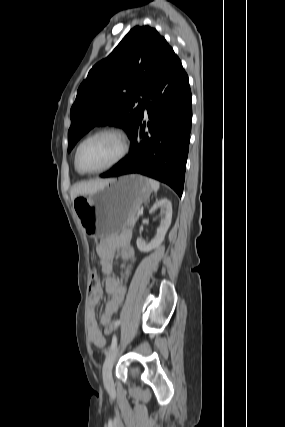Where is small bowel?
<instances>
[{
    "label": "small bowel",
    "mask_w": 285,
    "mask_h": 427,
    "mask_svg": "<svg viewBox=\"0 0 285 427\" xmlns=\"http://www.w3.org/2000/svg\"><path fill=\"white\" fill-rule=\"evenodd\" d=\"M119 251L121 258L125 262H135V251L130 244L128 234H124L118 238H104L96 245V253L100 260V266L103 272L107 275L105 282V290L110 295V299L105 305V308L100 316V323L103 326H109L114 319L116 312L124 299L125 288L120 281L113 275V258L115 253ZM103 296L102 287H97L90 291L89 307L91 313L94 314L96 306L99 304ZM90 340L94 348H103L106 340L98 328L96 323L92 324L90 330Z\"/></svg>",
    "instance_id": "small-bowel-1"
}]
</instances>
